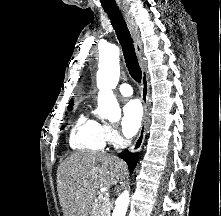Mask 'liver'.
<instances>
[{
	"label": "liver",
	"mask_w": 221,
	"mask_h": 216,
	"mask_svg": "<svg viewBox=\"0 0 221 216\" xmlns=\"http://www.w3.org/2000/svg\"><path fill=\"white\" fill-rule=\"evenodd\" d=\"M127 165L105 153H73L58 169L57 187L64 216H88L101 187L116 185Z\"/></svg>",
	"instance_id": "1"
}]
</instances>
